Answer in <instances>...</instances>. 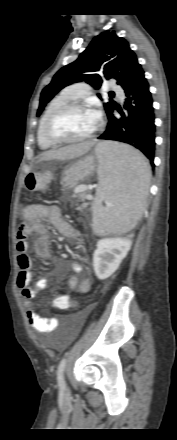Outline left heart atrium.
I'll use <instances>...</instances> for the list:
<instances>
[{"label": "left heart atrium", "mask_w": 177, "mask_h": 440, "mask_svg": "<svg viewBox=\"0 0 177 440\" xmlns=\"http://www.w3.org/2000/svg\"><path fill=\"white\" fill-rule=\"evenodd\" d=\"M89 114H90L91 122L95 128L100 119V112L98 110H92L89 112Z\"/></svg>", "instance_id": "obj_1"}]
</instances>
